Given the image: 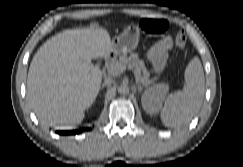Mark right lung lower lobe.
I'll return each mask as SVG.
<instances>
[{"mask_svg": "<svg viewBox=\"0 0 243 167\" xmlns=\"http://www.w3.org/2000/svg\"><path fill=\"white\" fill-rule=\"evenodd\" d=\"M58 134H64V135H72V134H78L80 133L79 130H72V131H57Z\"/></svg>", "mask_w": 243, "mask_h": 167, "instance_id": "98d812e1", "label": "right lung lower lobe"}]
</instances>
